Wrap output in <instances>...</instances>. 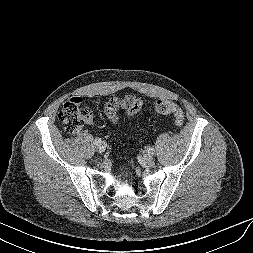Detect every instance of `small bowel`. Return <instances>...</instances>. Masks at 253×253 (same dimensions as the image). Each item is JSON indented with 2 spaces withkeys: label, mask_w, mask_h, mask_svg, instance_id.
<instances>
[{
  "label": "small bowel",
  "mask_w": 253,
  "mask_h": 253,
  "mask_svg": "<svg viewBox=\"0 0 253 253\" xmlns=\"http://www.w3.org/2000/svg\"><path fill=\"white\" fill-rule=\"evenodd\" d=\"M142 104V100L133 95L112 98L105 105V114L110 122L115 124L119 120L118 111L120 109L125 110L128 118H132L140 111Z\"/></svg>",
  "instance_id": "1"
}]
</instances>
